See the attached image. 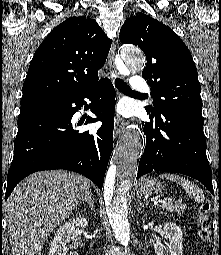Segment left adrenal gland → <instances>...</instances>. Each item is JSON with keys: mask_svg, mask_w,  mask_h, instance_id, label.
Here are the masks:
<instances>
[{"mask_svg": "<svg viewBox=\"0 0 221 255\" xmlns=\"http://www.w3.org/2000/svg\"><path fill=\"white\" fill-rule=\"evenodd\" d=\"M144 207V204L141 202V200L139 199L137 201V211L141 212V209Z\"/></svg>", "mask_w": 221, "mask_h": 255, "instance_id": "obj_1", "label": "left adrenal gland"}]
</instances>
